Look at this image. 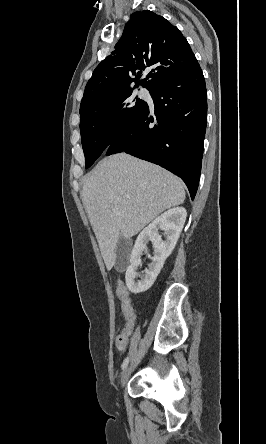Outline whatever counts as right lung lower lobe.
Wrapping results in <instances>:
<instances>
[{"instance_id":"1","label":"right lung lower lobe","mask_w":266,"mask_h":444,"mask_svg":"<svg viewBox=\"0 0 266 444\" xmlns=\"http://www.w3.org/2000/svg\"><path fill=\"white\" fill-rule=\"evenodd\" d=\"M150 95L154 109L148 106L123 129L105 150L106 155L126 152L160 165L179 176L194 199L207 123L206 85L200 65L155 87Z\"/></svg>"}]
</instances>
